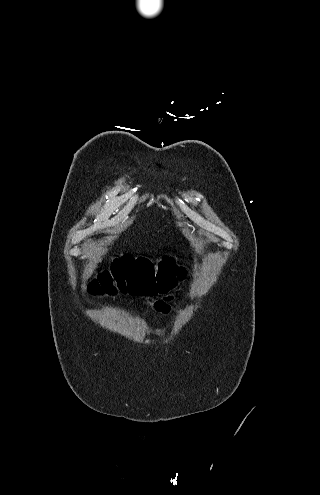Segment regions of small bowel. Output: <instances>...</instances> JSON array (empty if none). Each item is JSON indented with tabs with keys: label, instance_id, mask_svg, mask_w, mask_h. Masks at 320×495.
Here are the masks:
<instances>
[{
	"label": "small bowel",
	"instance_id": "1",
	"mask_svg": "<svg viewBox=\"0 0 320 495\" xmlns=\"http://www.w3.org/2000/svg\"><path fill=\"white\" fill-rule=\"evenodd\" d=\"M169 290H167L165 292H160V293H164V294H167V295H165V297H162V298H159L157 300H154L153 303H152V306H153L154 310L156 312L160 313V314H163V315L169 314L171 312V310H172V308H171V302L174 299V296L172 294H168ZM157 294H158V292L157 293H154V294H147V295L148 296H154V295H157Z\"/></svg>",
	"mask_w": 320,
	"mask_h": 495
}]
</instances>
